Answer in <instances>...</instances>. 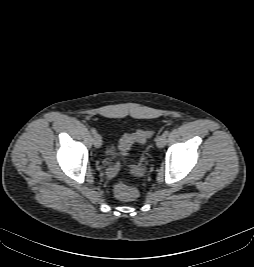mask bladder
Masks as SVG:
<instances>
[{
  "label": "bladder",
  "instance_id": "obj_1",
  "mask_svg": "<svg viewBox=\"0 0 254 267\" xmlns=\"http://www.w3.org/2000/svg\"><path fill=\"white\" fill-rule=\"evenodd\" d=\"M107 153H108V155H110V156H113V155L115 154L113 148H110V149L107 151Z\"/></svg>",
  "mask_w": 254,
  "mask_h": 267
}]
</instances>
